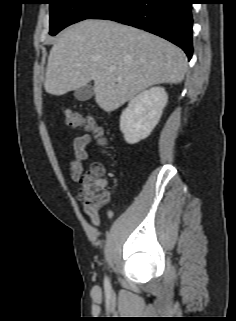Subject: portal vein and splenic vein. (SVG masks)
Wrapping results in <instances>:
<instances>
[{
  "instance_id": "obj_1",
  "label": "portal vein and splenic vein",
  "mask_w": 236,
  "mask_h": 321,
  "mask_svg": "<svg viewBox=\"0 0 236 321\" xmlns=\"http://www.w3.org/2000/svg\"><path fill=\"white\" fill-rule=\"evenodd\" d=\"M110 71L114 72V71H116V68L115 67H110Z\"/></svg>"
}]
</instances>
